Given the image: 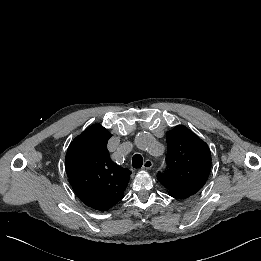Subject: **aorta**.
Here are the masks:
<instances>
[{"label":"aorta","instance_id":"obj_1","mask_svg":"<svg viewBox=\"0 0 261 261\" xmlns=\"http://www.w3.org/2000/svg\"><path fill=\"white\" fill-rule=\"evenodd\" d=\"M136 145L139 149L152 152L155 149L156 143L150 134L143 133L137 137Z\"/></svg>","mask_w":261,"mask_h":261}]
</instances>
